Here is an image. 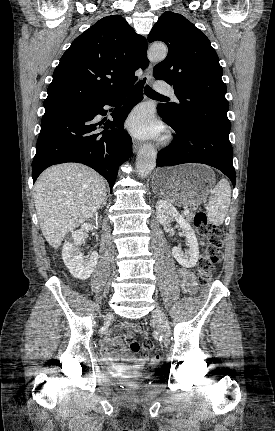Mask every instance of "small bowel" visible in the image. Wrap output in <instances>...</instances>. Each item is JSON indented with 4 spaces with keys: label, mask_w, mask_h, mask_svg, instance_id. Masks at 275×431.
I'll list each match as a JSON object with an SVG mask.
<instances>
[{
    "label": "small bowel",
    "mask_w": 275,
    "mask_h": 431,
    "mask_svg": "<svg viewBox=\"0 0 275 431\" xmlns=\"http://www.w3.org/2000/svg\"><path fill=\"white\" fill-rule=\"evenodd\" d=\"M180 285L188 293H193L195 290L194 276L193 273L185 268H181L178 271ZM118 330H137L140 328L128 322H123L118 326ZM143 333V332H142ZM121 347L123 352L120 356L116 351L113 350L114 347ZM101 351L106 360L112 363H120L124 361L132 360L129 353L126 352L123 346L122 339L119 335H107L103 338L101 342Z\"/></svg>",
    "instance_id": "c3829d8e"
}]
</instances>
